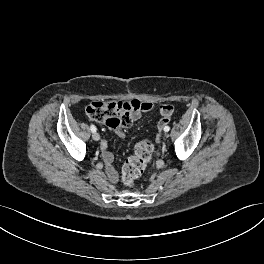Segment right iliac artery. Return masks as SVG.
I'll return each mask as SVG.
<instances>
[{
  "instance_id": "1",
  "label": "right iliac artery",
  "mask_w": 264,
  "mask_h": 264,
  "mask_svg": "<svg viewBox=\"0 0 264 264\" xmlns=\"http://www.w3.org/2000/svg\"><path fill=\"white\" fill-rule=\"evenodd\" d=\"M90 129L92 132H96V127L93 124L90 126Z\"/></svg>"
}]
</instances>
